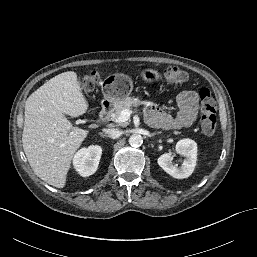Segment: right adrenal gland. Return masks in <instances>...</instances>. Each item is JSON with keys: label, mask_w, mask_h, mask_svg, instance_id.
I'll list each match as a JSON object with an SVG mask.
<instances>
[{"label": "right adrenal gland", "mask_w": 257, "mask_h": 257, "mask_svg": "<svg viewBox=\"0 0 257 257\" xmlns=\"http://www.w3.org/2000/svg\"><path fill=\"white\" fill-rule=\"evenodd\" d=\"M100 135H101L102 137H106V135H103L102 133H100Z\"/></svg>", "instance_id": "2a0ac1e0"}]
</instances>
